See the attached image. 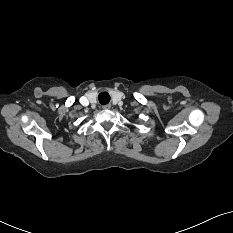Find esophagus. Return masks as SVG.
<instances>
[{
    "label": "esophagus",
    "mask_w": 233,
    "mask_h": 233,
    "mask_svg": "<svg viewBox=\"0 0 233 233\" xmlns=\"http://www.w3.org/2000/svg\"><path fill=\"white\" fill-rule=\"evenodd\" d=\"M110 107H111V106H110L109 104H107V105H104V106H103V109H110Z\"/></svg>",
    "instance_id": "34e87169"
}]
</instances>
